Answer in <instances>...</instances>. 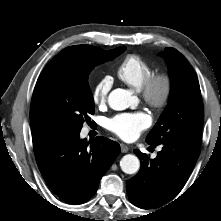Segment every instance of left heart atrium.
<instances>
[{
  "label": "left heart atrium",
  "instance_id": "obj_1",
  "mask_svg": "<svg viewBox=\"0 0 221 221\" xmlns=\"http://www.w3.org/2000/svg\"><path fill=\"white\" fill-rule=\"evenodd\" d=\"M150 117L144 112L122 113L108 120V129L120 138L130 141L149 127Z\"/></svg>",
  "mask_w": 221,
  "mask_h": 221
}]
</instances>
